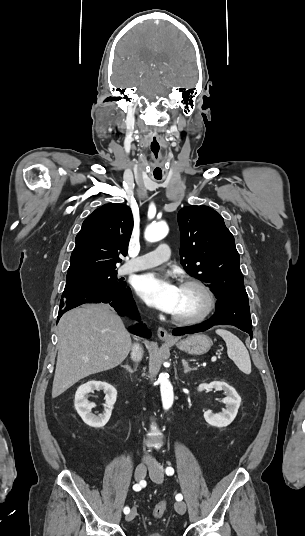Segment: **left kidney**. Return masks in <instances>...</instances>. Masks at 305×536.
<instances>
[{"mask_svg":"<svg viewBox=\"0 0 305 536\" xmlns=\"http://www.w3.org/2000/svg\"><path fill=\"white\" fill-rule=\"evenodd\" d=\"M210 388H215V390H224L225 396L221 402L226 404V410H222L219 414H212V412H204V418L210 426H216V428H225L233 422L235 416H237L238 408H240L241 398L238 396L236 390L226 384V382H211V384H200L198 392H203V390H210Z\"/></svg>","mask_w":305,"mask_h":536,"instance_id":"5707ae66","label":"left kidney"}]
</instances>
